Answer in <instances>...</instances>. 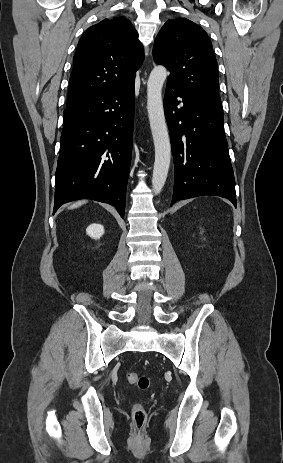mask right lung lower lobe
Listing matches in <instances>:
<instances>
[{
  "label": "right lung lower lobe",
  "instance_id": "98d812e1",
  "mask_svg": "<svg viewBox=\"0 0 283 463\" xmlns=\"http://www.w3.org/2000/svg\"><path fill=\"white\" fill-rule=\"evenodd\" d=\"M135 82L66 106L55 175L54 212L93 199L124 217L134 124Z\"/></svg>",
  "mask_w": 283,
  "mask_h": 463
}]
</instances>
